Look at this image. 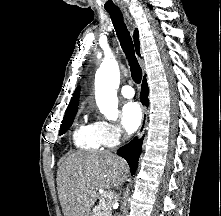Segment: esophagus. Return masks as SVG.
<instances>
[{
	"label": "esophagus",
	"instance_id": "esophagus-1",
	"mask_svg": "<svg viewBox=\"0 0 221 216\" xmlns=\"http://www.w3.org/2000/svg\"><path fill=\"white\" fill-rule=\"evenodd\" d=\"M123 15L129 22L131 21V17L126 10L123 11ZM142 113H143L142 114V122H141L139 131H138V135H137L138 140H140L142 138V136L144 135L146 125H147L148 114H147V108L145 106H143Z\"/></svg>",
	"mask_w": 221,
	"mask_h": 216
}]
</instances>
